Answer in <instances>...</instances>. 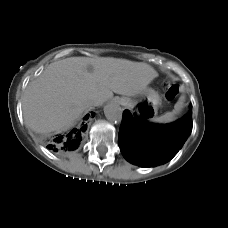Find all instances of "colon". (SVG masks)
I'll list each match as a JSON object with an SVG mask.
<instances>
[{"label":"colon","instance_id":"1","mask_svg":"<svg viewBox=\"0 0 228 228\" xmlns=\"http://www.w3.org/2000/svg\"><path fill=\"white\" fill-rule=\"evenodd\" d=\"M179 94V87L177 84H169L166 90V98L169 101L174 100Z\"/></svg>","mask_w":228,"mask_h":228}]
</instances>
